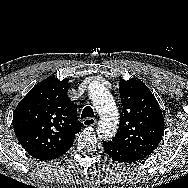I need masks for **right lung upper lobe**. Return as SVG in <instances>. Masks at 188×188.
Instances as JSON below:
<instances>
[{
	"label": "right lung upper lobe",
	"mask_w": 188,
	"mask_h": 188,
	"mask_svg": "<svg viewBox=\"0 0 188 188\" xmlns=\"http://www.w3.org/2000/svg\"><path fill=\"white\" fill-rule=\"evenodd\" d=\"M69 87L67 78L49 77L34 86L14 111L15 135L36 159L70 149L81 130L77 108L67 96Z\"/></svg>",
	"instance_id": "cb5924a9"
}]
</instances>
